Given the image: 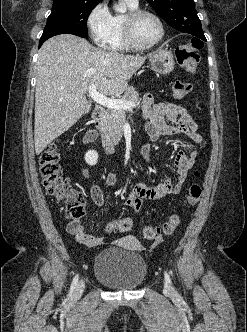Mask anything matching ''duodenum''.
<instances>
[{
	"instance_id": "410a0bca",
	"label": "duodenum",
	"mask_w": 247,
	"mask_h": 332,
	"mask_svg": "<svg viewBox=\"0 0 247 332\" xmlns=\"http://www.w3.org/2000/svg\"><path fill=\"white\" fill-rule=\"evenodd\" d=\"M105 116V109L101 106H97L93 111V123L95 129L100 133L102 137V142L105 150L109 153L111 152L112 148L108 140L103 135V119Z\"/></svg>"
}]
</instances>
